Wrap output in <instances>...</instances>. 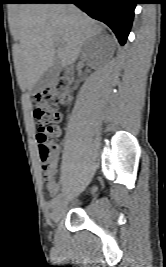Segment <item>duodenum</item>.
I'll return each mask as SVG.
<instances>
[{"instance_id": "obj_1", "label": "duodenum", "mask_w": 166, "mask_h": 267, "mask_svg": "<svg viewBox=\"0 0 166 267\" xmlns=\"http://www.w3.org/2000/svg\"><path fill=\"white\" fill-rule=\"evenodd\" d=\"M67 78L71 79V73L70 72L67 73Z\"/></svg>"}]
</instances>
